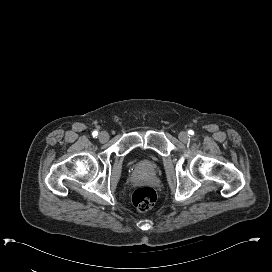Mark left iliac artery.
Masks as SVG:
<instances>
[{"instance_id": "1", "label": "left iliac artery", "mask_w": 272, "mask_h": 272, "mask_svg": "<svg viewBox=\"0 0 272 272\" xmlns=\"http://www.w3.org/2000/svg\"><path fill=\"white\" fill-rule=\"evenodd\" d=\"M188 133H189L190 135H194V131H193V130H189Z\"/></svg>"}]
</instances>
